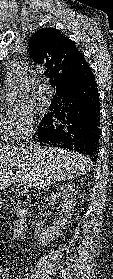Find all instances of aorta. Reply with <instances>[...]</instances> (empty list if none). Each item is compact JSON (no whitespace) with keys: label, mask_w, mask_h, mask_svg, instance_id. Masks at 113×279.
I'll return each instance as SVG.
<instances>
[{"label":"aorta","mask_w":113,"mask_h":279,"mask_svg":"<svg viewBox=\"0 0 113 279\" xmlns=\"http://www.w3.org/2000/svg\"><path fill=\"white\" fill-rule=\"evenodd\" d=\"M18 90L16 88L11 89L10 91V98H12L13 100L18 98Z\"/></svg>","instance_id":"aorta-1"}]
</instances>
